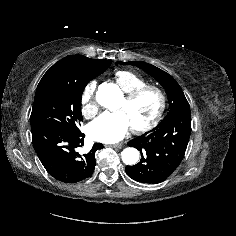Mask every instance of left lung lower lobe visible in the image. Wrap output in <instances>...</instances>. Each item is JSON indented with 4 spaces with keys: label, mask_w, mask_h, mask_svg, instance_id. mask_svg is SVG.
<instances>
[{
    "label": "left lung lower lobe",
    "mask_w": 236,
    "mask_h": 236,
    "mask_svg": "<svg viewBox=\"0 0 236 236\" xmlns=\"http://www.w3.org/2000/svg\"><path fill=\"white\" fill-rule=\"evenodd\" d=\"M191 134V113H179L151 131L129 141L141 160L126 166L135 181L156 184L166 180L181 163Z\"/></svg>",
    "instance_id": "obj_1"
}]
</instances>
